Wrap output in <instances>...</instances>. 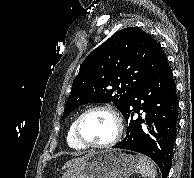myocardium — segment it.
<instances>
[{
  "mask_svg": "<svg viewBox=\"0 0 194 178\" xmlns=\"http://www.w3.org/2000/svg\"><path fill=\"white\" fill-rule=\"evenodd\" d=\"M105 111L108 114H110L115 123H116V131L114 136L112 137L111 140H109L106 143H102V144H95V143H90L88 141H86L80 133V124L81 121L83 119V117L85 115H87L88 113L92 112V111ZM123 134V121L122 118L120 116V114L117 112V110H115L112 106L109 105H93L88 107L87 109H85L75 120L74 122V136L76 138V140L83 145L86 148H97V149H105V148H110L112 146H114L115 144H117L119 142V140L121 139V136Z\"/></svg>",
  "mask_w": 194,
  "mask_h": 178,
  "instance_id": "obj_1",
  "label": "myocardium"
}]
</instances>
